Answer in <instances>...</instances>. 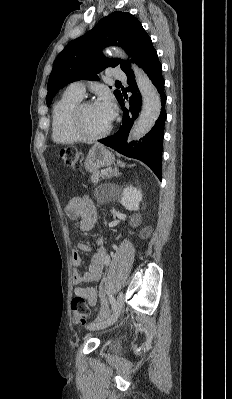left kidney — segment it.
I'll list each match as a JSON object with an SVG mask.
<instances>
[{
    "label": "left kidney",
    "mask_w": 232,
    "mask_h": 399,
    "mask_svg": "<svg viewBox=\"0 0 232 399\" xmlns=\"http://www.w3.org/2000/svg\"><path fill=\"white\" fill-rule=\"evenodd\" d=\"M142 201V194L140 190L134 188V186H127V188H123V192L121 194V203L126 207V209H139V203ZM145 229H142L141 233H144Z\"/></svg>",
    "instance_id": "left-kidney-1"
}]
</instances>
